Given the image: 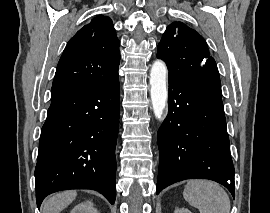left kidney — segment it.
<instances>
[{"instance_id": "1", "label": "left kidney", "mask_w": 270, "mask_h": 213, "mask_svg": "<svg viewBox=\"0 0 270 213\" xmlns=\"http://www.w3.org/2000/svg\"><path fill=\"white\" fill-rule=\"evenodd\" d=\"M174 213H192L187 208H177Z\"/></svg>"}]
</instances>
